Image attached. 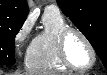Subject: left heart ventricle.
Segmentation results:
<instances>
[{
  "mask_svg": "<svg viewBox=\"0 0 107 75\" xmlns=\"http://www.w3.org/2000/svg\"><path fill=\"white\" fill-rule=\"evenodd\" d=\"M66 51L70 61L79 67H84L91 62V53L83 41L77 34H70L66 43Z\"/></svg>",
  "mask_w": 107,
  "mask_h": 75,
  "instance_id": "1",
  "label": "left heart ventricle"
}]
</instances>
